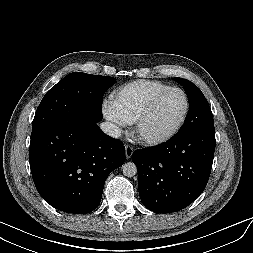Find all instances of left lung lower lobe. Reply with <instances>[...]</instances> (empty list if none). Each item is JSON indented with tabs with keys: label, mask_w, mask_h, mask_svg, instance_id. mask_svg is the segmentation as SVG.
I'll use <instances>...</instances> for the list:
<instances>
[{
	"label": "left lung lower lobe",
	"mask_w": 253,
	"mask_h": 253,
	"mask_svg": "<svg viewBox=\"0 0 253 253\" xmlns=\"http://www.w3.org/2000/svg\"><path fill=\"white\" fill-rule=\"evenodd\" d=\"M214 125L189 133H177L160 145L136 150L132 160L138 169L142 203L157 213L187 207L205 189L214 151Z\"/></svg>",
	"instance_id": "obj_1"
}]
</instances>
